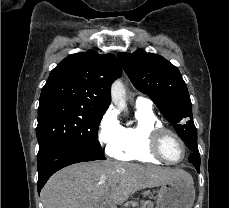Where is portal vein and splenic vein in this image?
Wrapping results in <instances>:
<instances>
[{
	"label": "portal vein and splenic vein",
	"instance_id": "portal-vein-and-splenic-vein-1",
	"mask_svg": "<svg viewBox=\"0 0 229 208\" xmlns=\"http://www.w3.org/2000/svg\"><path fill=\"white\" fill-rule=\"evenodd\" d=\"M109 208H116V206H114L113 202H110Z\"/></svg>",
	"mask_w": 229,
	"mask_h": 208
}]
</instances>
